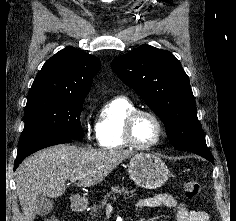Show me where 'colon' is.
Wrapping results in <instances>:
<instances>
[{"label": "colon", "mask_w": 236, "mask_h": 221, "mask_svg": "<svg viewBox=\"0 0 236 221\" xmlns=\"http://www.w3.org/2000/svg\"><path fill=\"white\" fill-rule=\"evenodd\" d=\"M200 184L193 179H188L184 183V192L187 198H195L200 193ZM41 221H59L56 217H45Z\"/></svg>", "instance_id": "colon-1"}]
</instances>
